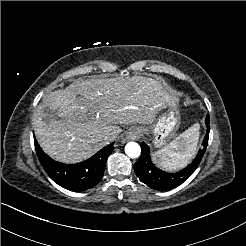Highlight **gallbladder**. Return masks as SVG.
Masks as SVG:
<instances>
[{
  "mask_svg": "<svg viewBox=\"0 0 246 246\" xmlns=\"http://www.w3.org/2000/svg\"><path fill=\"white\" fill-rule=\"evenodd\" d=\"M44 112L46 115V117H45L46 120H50L55 116L54 111L50 110L49 108H45Z\"/></svg>",
  "mask_w": 246,
  "mask_h": 246,
  "instance_id": "1",
  "label": "gallbladder"
}]
</instances>
